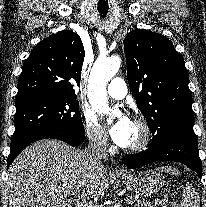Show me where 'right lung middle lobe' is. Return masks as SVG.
<instances>
[{"label":"right lung middle lobe","instance_id":"dd1d6c3e","mask_svg":"<svg viewBox=\"0 0 206 207\" xmlns=\"http://www.w3.org/2000/svg\"><path fill=\"white\" fill-rule=\"evenodd\" d=\"M15 101V131L11 141L45 128L85 134L76 97L42 94Z\"/></svg>","mask_w":206,"mask_h":207}]
</instances>
